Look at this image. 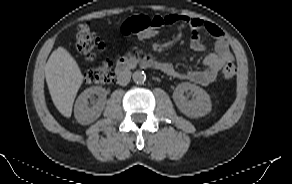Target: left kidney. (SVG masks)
Wrapping results in <instances>:
<instances>
[{
	"label": "left kidney",
	"instance_id": "1",
	"mask_svg": "<svg viewBox=\"0 0 292 184\" xmlns=\"http://www.w3.org/2000/svg\"><path fill=\"white\" fill-rule=\"evenodd\" d=\"M187 91L193 94L192 100H188L184 96V92ZM173 100L179 110L188 117H202L212 109L210 96L207 92L189 82H183L176 87L173 93Z\"/></svg>",
	"mask_w": 292,
	"mask_h": 184
}]
</instances>
